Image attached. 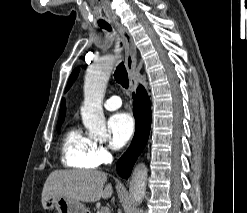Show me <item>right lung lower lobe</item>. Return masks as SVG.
<instances>
[{"mask_svg": "<svg viewBox=\"0 0 247 213\" xmlns=\"http://www.w3.org/2000/svg\"><path fill=\"white\" fill-rule=\"evenodd\" d=\"M133 98V112L136 121L135 136L129 149L119 159L116 167L119 176L123 178L130 176L134 163L146 145L151 125V106L145 89L140 86L136 95L133 94Z\"/></svg>", "mask_w": 247, "mask_h": 213, "instance_id": "right-lung-lower-lobe-1", "label": "right lung lower lobe"}]
</instances>
